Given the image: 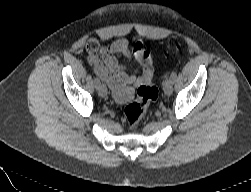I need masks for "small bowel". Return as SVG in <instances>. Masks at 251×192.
I'll return each instance as SVG.
<instances>
[{"mask_svg": "<svg viewBox=\"0 0 251 192\" xmlns=\"http://www.w3.org/2000/svg\"><path fill=\"white\" fill-rule=\"evenodd\" d=\"M86 52L94 72L108 84L119 103L129 101L133 97V87L153 77L150 53L141 42H137L131 49L124 39L114 41L110 47L90 39ZM120 57L135 59L141 67L140 73L128 74L119 61Z\"/></svg>", "mask_w": 251, "mask_h": 192, "instance_id": "1", "label": "small bowel"}]
</instances>
